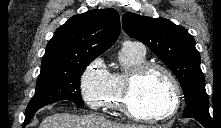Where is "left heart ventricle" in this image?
Segmentation results:
<instances>
[{
	"instance_id": "obj_1",
	"label": "left heart ventricle",
	"mask_w": 221,
	"mask_h": 128,
	"mask_svg": "<svg viewBox=\"0 0 221 128\" xmlns=\"http://www.w3.org/2000/svg\"><path fill=\"white\" fill-rule=\"evenodd\" d=\"M171 98L169 80L161 71L153 70L138 82L131 103L136 111L155 115L167 109Z\"/></svg>"
}]
</instances>
